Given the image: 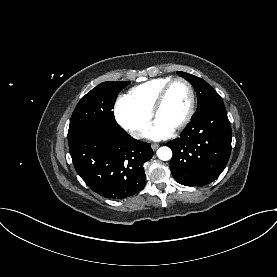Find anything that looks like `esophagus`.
Returning <instances> with one entry per match:
<instances>
[{
  "mask_svg": "<svg viewBox=\"0 0 277 277\" xmlns=\"http://www.w3.org/2000/svg\"><path fill=\"white\" fill-rule=\"evenodd\" d=\"M158 147H159V144H156V143L151 145L152 150H156L158 149Z\"/></svg>",
  "mask_w": 277,
  "mask_h": 277,
  "instance_id": "esophagus-1",
  "label": "esophagus"
}]
</instances>
